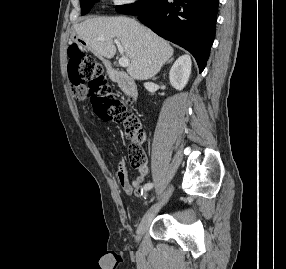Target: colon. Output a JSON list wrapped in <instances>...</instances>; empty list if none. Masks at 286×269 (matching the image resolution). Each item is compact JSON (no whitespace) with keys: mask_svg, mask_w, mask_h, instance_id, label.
Masks as SVG:
<instances>
[{"mask_svg":"<svg viewBox=\"0 0 286 269\" xmlns=\"http://www.w3.org/2000/svg\"><path fill=\"white\" fill-rule=\"evenodd\" d=\"M67 56L73 95L79 97L81 87L87 85L92 96L95 114L104 121L120 124L132 167L138 169L145 165L144 133L140 121L136 116L127 114V102L113 94L111 86L103 75L101 64L76 43L68 46ZM137 193L139 196H147L140 188Z\"/></svg>","mask_w":286,"mask_h":269,"instance_id":"5ec220e1","label":"colon"}]
</instances>
